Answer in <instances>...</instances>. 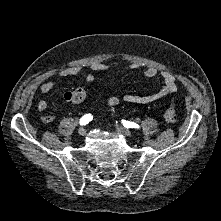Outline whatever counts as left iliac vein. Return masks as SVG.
Wrapping results in <instances>:
<instances>
[{"mask_svg":"<svg viewBox=\"0 0 221 221\" xmlns=\"http://www.w3.org/2000/svg\"><path fill=\"white\" fill-rule=\"evenodd\" d=\"M117 131L124 136H131L132 132L129 129L123 127H117Z\"/></svg>","mask_w":221,"mask_h":221,"instance_id":"1","label":"left iliac vein"}]
</instances>
